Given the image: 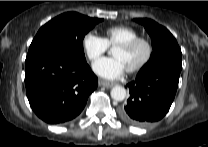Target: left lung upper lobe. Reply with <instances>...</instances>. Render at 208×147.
I'll return each instance as SVG.
<instances>
[{"label":"left lung upper lobe","instance_id":"obj_1","mask_svg":"<svg viewBox=\"0 0 208 147\" xmlns=\"http://www.w3.org/2000/svg\"><path fill=\"white\" fill-rule=\"evenodd\" d=\"M151 36L153 52L138 74L162 65L182 69V53L174 36L165 27L148 18H137Z\"/></svg>","mask_w":208,"mask_h":147}]
</instances>
